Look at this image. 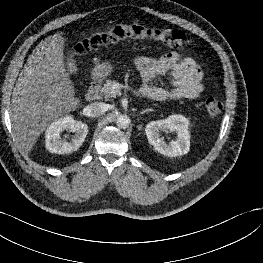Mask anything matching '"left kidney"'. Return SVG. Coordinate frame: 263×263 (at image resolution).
<instances>
[{"mask_svg":"<svg viewBox=\"0 0 263 263\" xmlns=\"http://www.w3.org/2000/svg\"><path fill=\"white\" fill-rule=\"evenodd\" d=\"M189 121L182 115H171L167 119L152 121L146 125L148 142L155 150L168 157L185 155L190 147ZM176 132L177 138L167 143L160 132Z\"/></svg>","mask_w":263,"mask_h":263,"instance_id":"5707ae66","label":"left kidney"}]
</instances>
